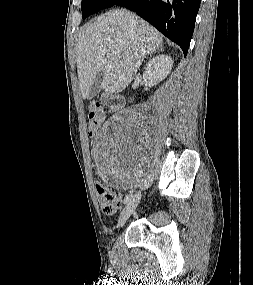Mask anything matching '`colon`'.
Listing matches in <instances>:
<instances>
[{"instance_id": "5ec220e1", "label": "colon", "mask_w": 253, "mask_h": 285, "mask_svg": "<svg viewBox=\"0 0 253 285\" xmlns=\"http://www.w3.org/2000/svg\"><path fill=\"white\" fill-rule=\"evenodd\" d=\"M103 119L102 110L98 103L92 104L88 114V137H90V155H95L99 137L96 136V130L100 126ZM90 168H97V158H90ZM96 193L99 198L100 207L107 214L115 213L121 202L120 195L117 191L106 187L101 182L95 183Z\"/></svg>"}]
</instances>
